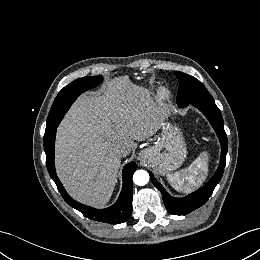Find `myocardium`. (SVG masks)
Here are the masks:
<instances>
[{
	"label": "myocardium",
	"instance_id": "myocardium-1",
	"mask_svg": "<svg viewBox=\"0 0 260 260\" xmlns=\"http://www.w3.org/2000/svg\"><path fill=\"white\" fill-rule=\"evenodd\" d=\"M169 99V93L166 90L162 91V94L160 96V102H166Z\"/></svg>",
	"mask_w": 260,
	"mask_h": 260
}]
</instances>
